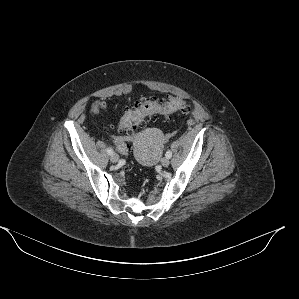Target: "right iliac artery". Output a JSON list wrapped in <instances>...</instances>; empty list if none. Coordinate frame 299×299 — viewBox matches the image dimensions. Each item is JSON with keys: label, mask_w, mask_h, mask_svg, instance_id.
Instances as JSON below:
<instances>
[{"label": "right iliac artery", "mask_w": 299, "mask_h": 299, "mask_svg": "<svg viewBox=\"0 0 299 299\" xmlns=\"http://www.w3.org/2000/svg\"><path fill=\"white\" fill-rule=\"evenodd\" d=\"M107 153H108L109 155H112V154H113V150H112V148H107Z\"/></svg>", "instance_id": "82829eb1"}]
</instances>
